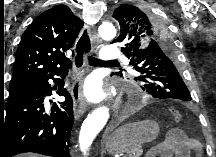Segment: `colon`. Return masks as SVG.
I'll return each mask as SVG.
<instances>
[{
  "label": "colon",
  "mask_w": 216,
  "mask_h": 157,
  "mask_svg": "<svg viewBox=\"0 0 216 157\" xmlns=\"http://www.w3.org/2000/svg\"><path fill=\"white\" fill-rule=\"evenodd\" d=\"M171 116H172L173 120L175 122H177V123L181 122V120H182V114L177 109H172L171 110Z\"/></svg>",
  "instance_id": "colon-1"
}]
</instances>
